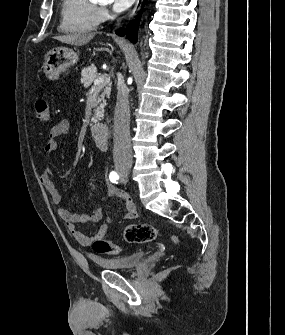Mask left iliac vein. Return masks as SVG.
Returning <instances> with one entry per match:
<instances>
[{"mask_svg":"<svg viewBox=\"0 0 285 335\" xmlns=\"http://www.w3.org/2000/svg\"><path fill=\"white\" fill-rule=\"evenodd\" d=\"M120 181L125 184V183H127V178H124V177L121 176Z\"/></svg>","mask_w":285,"mask_h":335,"instance_id":"4c4485c4","label":"left iliac vein"}]
</instances>
